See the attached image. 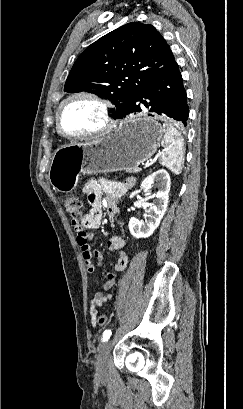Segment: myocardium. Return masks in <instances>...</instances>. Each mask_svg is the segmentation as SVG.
Masks as SVG:
<instances>
[{"label": "myocardium", "mask_w": 243, "mask_h": 409, "mask_svg": "<svg viewBox=\"0 0 243 409\" xmlns=\"http://www.w3.org/2000/svg\"><path fill=\"white\" fill-rule=\"evenodd\" d=\"M77 98H85V99H89L93 102H95L101 111V118H102V125L100 128L88 132V133H83V134H78V135H69L66 134L61 126V114L62 111L65 107V105ZM115 126V121L112 117L111 114V106L110 103L105 100L104 98H102L100 95L94 93V92H90V91H78L75 92L71 95H69L68 97H66L58 106L57 112H56V129L57 132L59 133V135H61L62 137H64L65 139L68 140H81V139H86V138H91V137H96V136H100L103 134H106L108 132H110Z\"/></svg>", "instance_id": "obj_1"}]
</instances>
